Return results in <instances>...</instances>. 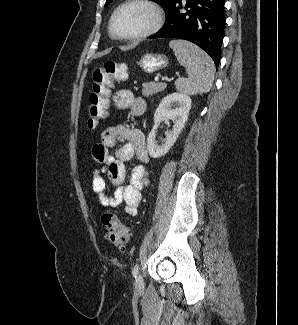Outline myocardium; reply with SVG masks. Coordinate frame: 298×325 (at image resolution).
I'll return each mask as SVG.
<instances>
[{
    "instance_id": "f54148a6",
    "label": "myocardium",
    "mask_w": 298,
    "mask_h": 325,
    "mask_svg": "<svg viewBox=\"0 0 298 325\" xmlns=\"http://www.w3.org/2000/svg\"><path fill=\"white\" fill-rule=\"evenodd\" d=\"M127 8H140V9L145 10L150 15L151 21H150L149 25L142 32H140L139 34L134 36L132 39L124 40L116 35L114 23H115V19H116L117 15L119 14V12L124 9H127ZM160 26H161V16L159 14V11L157 10V8L154 5H152L148 2H145V1H129V2H126L122 5H120L114 11L113 15L111 16L110 23H109V33H110V36L117 42H120L123 44H132V43L141 41L144 38L152 35L160 28Z\"/></svg>"
}]
</instances>
